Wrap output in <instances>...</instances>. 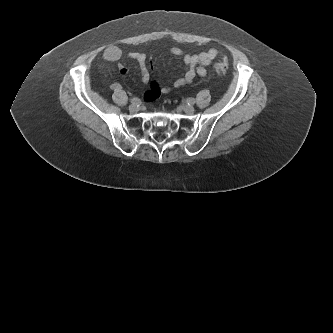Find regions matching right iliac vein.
Returning <instances> with one entry per match:
<instances>
[{"label":"right iliac vein","mask_w":333,"mask_h":333,"mask_svg":"<svg viewBox=\"0 0 333 333\" xmlns=\"http://www.w3.org/2000/svg\"><path fill=\"white\" fill-rule=\"evenodd\" d=\"M139 110V105L136 103H133L129 106V111L132 113H135Z\"/></svg>","instance_id":"1"}]
</instances>
